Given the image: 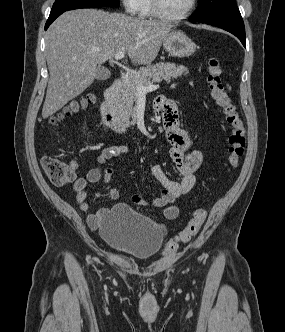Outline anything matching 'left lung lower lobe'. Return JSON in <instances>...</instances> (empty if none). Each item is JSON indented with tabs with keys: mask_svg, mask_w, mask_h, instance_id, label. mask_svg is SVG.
Returning a JSON list of instances; mask_svg holds the SVG:
<instances>
[{
	"mask_svg": "<svg viewBox=\"0 0 285 332\" xmlns=\"http://www.w3.org/2000/svg\"><path fill=\"white\" fill-rule=\"evenodd\" d=\"M191 22H199L193 19H190ZM206 23L212 26L222 28L239 38L243 46L246 47L245 41V28L242 18L231 19V20H220V21H210V22H201Z\"/></svg>",
	"mask_w": 285,
	"mask_h": 332,
	"instance_id": "left-lung-lower-lobe-1",
	"label": "left lung lower lobe"
}]
</instances>
